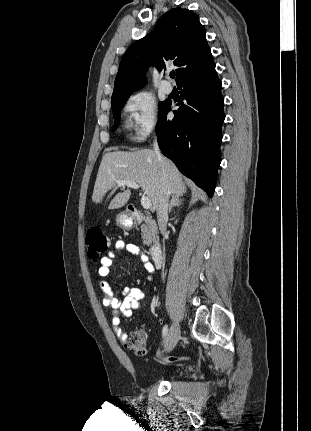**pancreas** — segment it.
I'll return each instance as SVG.
<instances>
[{"mask_svg": "<svg viewBox=\"0 0 311 431\" xmlns=\"http://www.w3.org/2000/svg\"><path fill=\"white\" fill-rule=\"evenodd\" d=\"M157 231H158L157 223H155L154 219H151V217L146 216L144 225H141L143 243H145V245H151V243H157L158 241Z\"/></svg>", "mask_w": 311, "mask_h": 431, "instance_id": "cf45deb5", "label": "pancreas"}]
</instances>
